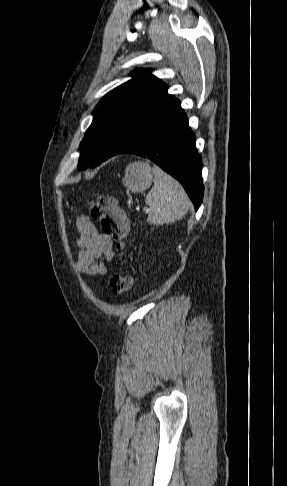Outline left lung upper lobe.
<instances>
[{"label":"left lung upper lobe","mask_w":287,"mask_h":486,"mask_svg":"<svg viewBox=\"0 0 287 486\" xmlns=\"http://www.w3.org/2000/svg\"><path fill=\"white\" fill-rule=\"evenodd\" d=\"M131 75V80L111 90L95 107L80 144L79 170L135 149L180 104L149 69H137Z\"/></svg>","instance_id":"obj_1"}]
</instances>
